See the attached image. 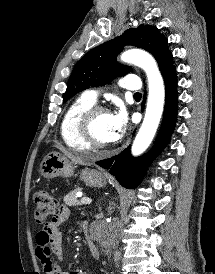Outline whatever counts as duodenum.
Listing matches in <instances>:
<instances>
[{"label":"duodenum","mask_w":215,"mask_h":274,"mask_svg":"<svg viewBox=\"0 0 215 274\" xmlns=\"http://www.w3.org/2000/svg\"><path fill=\"white\" fill-rule=\"evenodd\" d=\"M85 236L90 252L92 253L94 258L98 259L100 256L98 247L95 245L91 235L87 231H85Z\"/></svg>","instance_id":"obj_1"}]
</instances>
